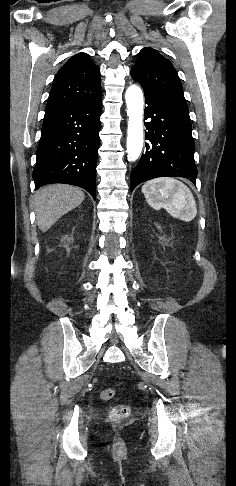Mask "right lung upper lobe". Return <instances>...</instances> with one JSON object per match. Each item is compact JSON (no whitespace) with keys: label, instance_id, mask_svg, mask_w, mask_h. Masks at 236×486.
<instances>
[{"label":"right lung upper lobe","instance_id":"cb5924a9","mask_svg":"<svg viewBox=\"0 0 236 486\" xmlns=\"http://www.w3.org/2000/svg\"><path fill=\"white\" fill-rule=\"evenodd\" d=\"M101 96L100 72L86 53H78L57 72L46 110Z\"/></svg>","mask_w":236,"mask_h":486}]
</instances>
